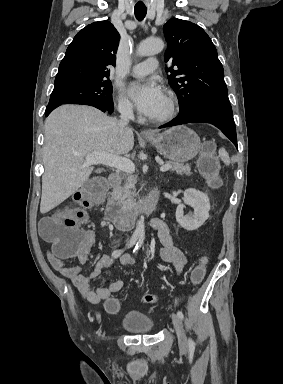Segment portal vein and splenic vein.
Here are the masks:
<instances>
[{
    "mask_svg": "<svg viewBox=\"0 0 283 384\" xmlns=\"http://www.w3.org/2000/svg\"><path fill=\"white\" fill-rule=\"evenodd\" d=\"M84 164H87V166H90V164H104V166H111V168L122 170L126 174H133L135 172V166L131 160L121 158V156H114V154H106V152H91V154L86 156ZM170 168L171 166L165 164V166H161L160 172H167Z\"/></svg>",
    "mask_w": 283,
    "mask_h": 384,
    "instance_id": "1",
    "label": "portal vein and splenic vein"
}]
</instances>
